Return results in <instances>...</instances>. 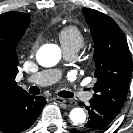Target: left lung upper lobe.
Instances as JSON below:
<instances>
[{
    "label": "left lung upper lobe",
    "instance_id": "left-lung-upper-lobe-1",
    "mask_svg": "<svg viewBox=\"0 0 133 133\" xmlns=\"http://www.w3.org/2000/svg\"><path fill=\"white\" fill-rule=\"evenodd\" d=\"M82 10L94 40L97 81L93 87V98L121 109L132 74L126 37L111 17L89 8Z\"/></svg>",
    "mask_w": 133,
    "mask_h": 133
}]
</instances>
